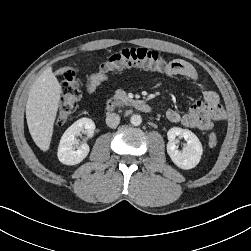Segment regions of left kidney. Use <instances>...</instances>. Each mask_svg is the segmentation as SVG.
I'll list each match as a JSON object with an SVG mask.
<instances>
[{"mask_svg":"<svg viewBox=\"0 0 251 251\" xmlns=\"http://www.w3.org/2000/svg\"><path fill=\"white\" fill-rule=\"evenodd\" d=\"M167 137L169 140L167 143V153L176 166L189 170L198 165L203 148L198 137L192 131L173 127L167 132ZM177 137H182L186 141V145L182 151L177 149Z\"/></svg>","mask_w":251,"mask_h":251,"instance_id":"1","label":"left kidney"}]
</instances>
